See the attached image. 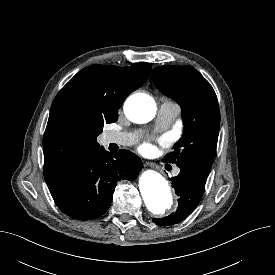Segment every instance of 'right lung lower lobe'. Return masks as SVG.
<instances>
[{
  "label": "right lung lower lobe",
  "mask_w": 275,
  "mask_h": 275,
  "mask_svg": "<svg viewBox=\"0 0 275 275\" xmlns=\"http://www.w3.org/2000/svg\"><path fill=\"white\" fill-rule=\"evenodd\" d=\"M141 169V160L130 151L111 153L100 148L71 164L48 187L63 213L93 219L109 208L117 181L134 180Z\"/></svg>",
  "instance_id": "obj_1"
}]
</instances>
